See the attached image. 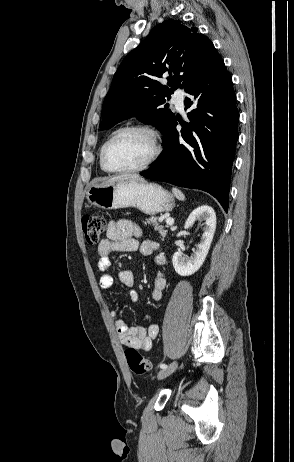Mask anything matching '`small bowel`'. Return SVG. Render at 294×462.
Instances as JSON below:
<instances>
[{
	"instance_id": "obj_1",
	"label": "small bowel",
	"mask_w": 294,
	"mask_h": 462,
	"mask_svg": "<svg viewBox=\"0 0 294 462\" xmlns=\"http://www.w3.org/2000/svg\"><path fill=\"white\" fill-rule=\"evenodd\" d=\"M140 232L138 226L130 220L120 219L109 222L106 231V238L103 239L97 248L98 261L97 269L103 274L100 277L99 284L103 290H109L114 283L113 277L108 271L112 268V252H134L139 249L140 253L145 256L155 255V264L162 266L165 263V257L159 252L160 247L156 241L145 240L139 243ZM120 282L130 290L132 301L138 300V294L132 290L135 284V276L132 270L123 269L118 274ZM166 287V279L161 272H157L153 280V290L151 297L154 301H160L163 298V292ZM114 319L115 328L121 342L133 349L149 351L152 348L153 341L157 338L159 328L156 324H150L147 327L139 325H129L121 319L115 310L110 312Z\"/></svg>"
}]
</instances>
